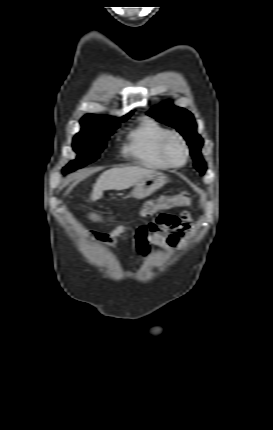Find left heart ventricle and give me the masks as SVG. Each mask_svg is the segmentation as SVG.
Wrapping results in <instances>:
<instances>
[{"label":"left heart ventricle","instance_id":"b2bd125f","mask_svg":"<svg viewBox=\"0 0 273 430\" xmlns=\"http://www.w3.org/2000/svg\"><path fill=\"white\" fill-rule=\"evenodd\" d=\"M167 154L172 161L180 162L184 155L182 144L178 140L172 139L168 143Z\"/></svg>","mask_w":273,"mask_h":430}]
</instances>
